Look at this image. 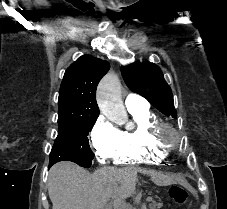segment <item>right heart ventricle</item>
Wrapping results in <instances>:
<instances>
[{
    "instance_id": "obj_1",
    "label": "right heart ventricle",
    "mask_w": 227,
    "mask_h": 209,
    "mask_svg": "<svg viewBox=\"0 0 227 209\" xmlns=\"http://www.w3.org/2000/svg\"><path fill=\"white\" fill-rule=\"evenodd\" d=\"M132 127L121 131V140L113 162L116 165H139L163 161L168 153L161 147L152 144L147 136V129L159 119L148 107L128 109Z\"/></svg>"
}]
</instances>
